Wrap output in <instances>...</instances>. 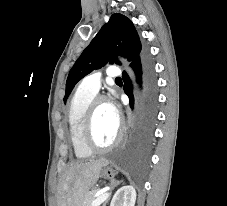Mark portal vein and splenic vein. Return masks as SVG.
Wrapping results in <instances>:
<instances>
[{"label":"portal vein and splenic vein","mask_w":227,"mask_h":206,"mask_svg":"<svg viewBox=\"0 0 227 206\" xmlns=\"http://www.w3.org/2000/svg\"><path fill=\"white\" fill-rule=\"evenodd\" d=\"M96 199L92 202L91 206H99L102 204L108 197V193L105 191H99L96 193Z\"/></svg>","instance_id":"obj_1"}]
</instances>
